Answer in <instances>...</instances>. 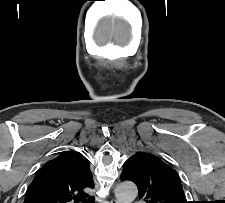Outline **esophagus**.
Wrapping results in <instances>:
<instances>
[{
    "label": "esophagus",
    "mask_w": 225,
    "mask_h": 203,
    "mask_svg": "<svg viewBox=\"0 0 225 203\" xmlns=\"http://www.w3.org/2000/svg\"><path fill=\"white\" fill-rule=\"evenodd\" d=\"M111 203H118L116 200H114V201H111Z\"/></svg>",
    "instance_id": "obj_1"
}]
</instances>
